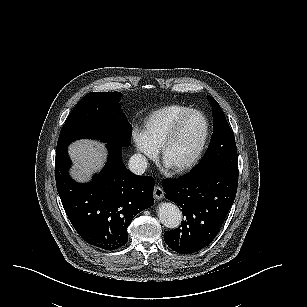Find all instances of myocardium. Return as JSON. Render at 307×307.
Here are the masks:
<instances>
[{"label": "myocardium", "instance_id": "myocardium-1", "mask_svg": "<svg viewBox=\"0 0 307 307\" xmlns=\"http://www.w3.org/2000/svg\"><path fill=\"white\" fill-rule=\"evenodd\" d=\"M193 117L198 120L195 131L199 132L201 127V138L194 155L184 162L170 160L169 157L166 156V152L169 148L168 144L174 140L176 136L175 133L180 128V126L189 118ZM207 129L208 126L206 124L205 118H203V112H201V109L189 108V110H186V113H183L180 118L176 119V122H174L172 128L168 129V134H165V137H163L162 142L158 144V149L155 153V159L158 165L168 171H181L190 168L205 147L208 131Z\"/></svg>", "mask_w": 307, "mask_h": 307}]
</instances>
